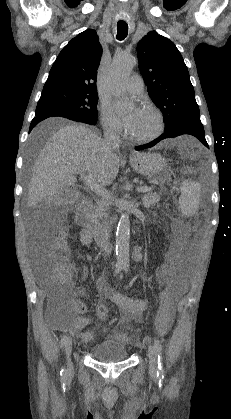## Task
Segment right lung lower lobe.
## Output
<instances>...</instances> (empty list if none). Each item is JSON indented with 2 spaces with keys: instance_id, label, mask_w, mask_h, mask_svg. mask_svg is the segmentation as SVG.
Returning <instances> with one entry per match:
<instances>
[{
  "instance_id": "right-lung-lower-lobe-1",
  "label": "right lung lower lobe",
  "mask_w": 231,
  "mask_h": 419,
  "mask_svg": "<svg viewBox=\"0 0 231 419\" xmlns=\"http://www.w3.org/2000/svg\"><path fill=\"white\" fill-rule=\"evenodd\" d=\"M44 119H46V118H44L43 116H37V117H34V119L32 120V122H31V125H30V129H29V132L40 122V121H42V120H44ZM88 124H92V123H88ZM96 124V123H95ZM92 125H94V124H92Z\"/></svg>"
}]
</instances>
